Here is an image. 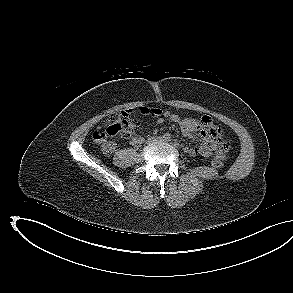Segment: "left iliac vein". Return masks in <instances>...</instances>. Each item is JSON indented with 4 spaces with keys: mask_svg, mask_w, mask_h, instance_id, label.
<instances>
[{
    "mask_svg": "<svg viewBox=\"0 0 293 293\" xmlns=\"http://www.w3.org/2000/svg\"><path fill=\"white\" fill-rule=\"evenodd\" d=\"M160 141H161V142H168V141H166V140H164V139H160Z\"/></svg>",
    "mask_w": 293,
    "mask_h": 293,
    "instance_id": "obj_1",
    "label": "left iliac vein"
}]
</instances>
